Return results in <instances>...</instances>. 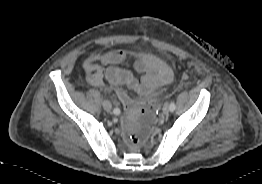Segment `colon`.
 <instances>
[{
    "label": "colon",
    "mask_w": 262,
    "mask_h": 184,
    "mask_svg": "<svg viewBox=\"0 0 262 184\" xmlns=\"http://www.w3.org/2000/svg\"><path fill=\"white\" fill-rule=\"evenodd\" d=\"M117 96L126 109L124 121L126 140L134 146H139L145 142L150 133L156 101L140 106L123 90H118Z\"/></svg>",
    "instance_id": "colon-1"
}]
</instances>
